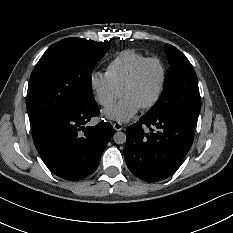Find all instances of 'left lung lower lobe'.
Here are the masks:
<instances>
[{"label": "left lung lower lobe", "instance_id": "0a47b994", "mask_svg": "<svg viewBox=\"0 0 233 233\" xmlns=\"http://www.w3.org/2000/svg\"><path fill=\"white\" fill-rule=\"evenodd\" d=\"M196 121L189 116H142L126 131L124 156L129 170L146 182L169 177L191 148Z\"/></svg>", "mask_w": 233, "mask_h": 233}]
</instances>
